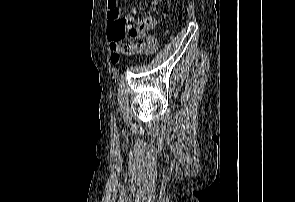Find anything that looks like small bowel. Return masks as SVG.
<instances>
[{"label": "small bowel", "instance_id": "small-bowel-1", "mask_svg": "<svg viewBox=\"0 0 295 202\" xmlns=\"http://www.w3.org/2000/svg\"><path fill=\"white\" fill-rule=\"evenodd\" d=\"M121 2L122 0H107V8H108V20L112 23L117 21L121 15ZM147 25L146 28H152L155 25V19L154 18H148L146 20ZM146 44H150L152 48L148 51H145L147 54L153 53L158 45L157 38L155 36H147L144 40ZM138 47L136 45L132 44H126L121 47H117L113 49V53L111 54V61L113 64H116L119 62L120 55L125 53H135L137 51Z\"/></svg>", "mask_w": 295, "mask_h": 202}]
</instances>
